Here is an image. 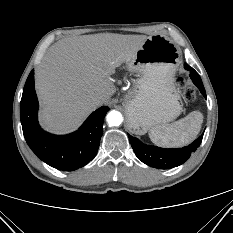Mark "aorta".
<instances>
[{
	"label": "aorta",
	"mask_w": 233,
	"mask_h": 233,
	"mask_svg": "<svg viewBox=\"0 0 233 233\" xmlns=\"http://www.w3.org/2000/svg\"><path fill=\"white\" fill-rule=\"evenodd\" d=\"M106 119L109 126H119L123 121L122 114L116 110L110 111Z\"/></svg>",
	"instance_id": "obj_1"
}]
</instances>
